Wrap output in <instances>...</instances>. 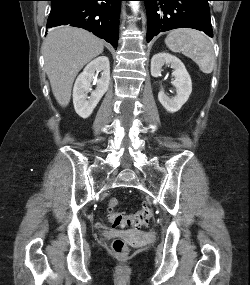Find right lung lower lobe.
Wrapping results in <instances>:
<instances>
[{
	"mask_svg": "<svg viewBox=\"0 0 250 285\" xmlns=\"http://www.w3.org/2000/svg\"><path fill=\"white\" fill-rule=\"evenodd\" d=\"M47 28L70 24L92 31L117 47L123 0H50Z\"/></svg>",
	"mask_w": 250,
	"mask_h": 285,
	"instance_id": "1",
	"label": "right lung lower lobe"
}]
</instances>
